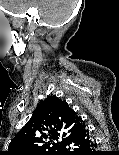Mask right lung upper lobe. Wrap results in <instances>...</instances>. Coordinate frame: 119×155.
I'll list each match as a JSON object with an SVG mask.
<instances>
[{"instance_id": "cb5924a9", "label": "right lung upper lobe", "mask_w": 119, "mask_h": 155, "mask_svg": "<svg viewBox=\"0 0 119 155\" xmlns=\"http://www.w3.org/2000/svg\"><path fill=\"white\" fill-rule=\"evenodd\" d=\"M85 128L83 120L66 101L49 96L17 133L5 155H57L64 144ZM39 131L41 137H35Z\"/></svg>"}]
</instances>
